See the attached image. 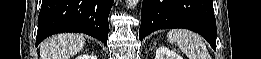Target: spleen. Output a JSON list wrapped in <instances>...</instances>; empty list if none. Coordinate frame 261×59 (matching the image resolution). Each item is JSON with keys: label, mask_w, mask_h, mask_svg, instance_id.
I'll list each match as a JSON object with an SVG mask.
<instances>
[{"label": "spleen", "mask_w": 261, "mask_h": 59, "mask_svg": "<svg viewBox=\"0 0 261 59\" xmlns=\"http://www.w3.org/2000/svg\"><path fill=\"white\" fill-rule=\"evenodd\" d=\"M169 43L176 44L189 59H210L206 45L198 34L185 29H172L167 33Z\"/></svg>", "instance_id": "spleen-1"}]
</instances>
